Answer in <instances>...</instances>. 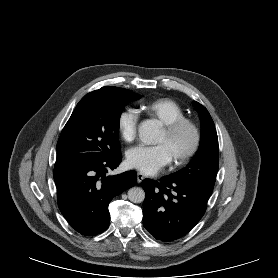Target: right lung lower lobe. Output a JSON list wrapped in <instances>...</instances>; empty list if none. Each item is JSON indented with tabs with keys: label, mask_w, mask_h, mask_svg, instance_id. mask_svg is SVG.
<instances>
[{
	"label": "right lung lower lobe",
	"mask_w": 278,
	"mask_h": 278,
	"mask_svg": "<svg viewBox=\"0 0 278 278\" xmlns=\"http://www.w3.org/2000/svg\"><path fill=\"white\" fill-rule=\"evenodd\" d=\"M121 160V153H118L106 159L55 165L53 175L59 209L79 233L88 236L106 230L110 220V201L136 184L135 171L106 175L109 170L117 168Z\"/></svg>",
	"instance_id": "right-lung-lower-lobe-1"
}]
</instances>
